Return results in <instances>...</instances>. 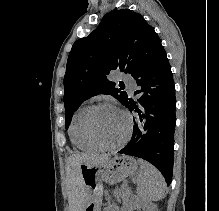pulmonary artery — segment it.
Wrapping results in <instances>:
<instances>
[{
    "mask_svg": "<svg viewBox=\"0 0 219 211\" xmlns=\"http://www.w3.org/2000/svg\"><path fill=\"white\" fill-rule=\"evenodd\" d=\"M127 85H128V87H129V89H130L131 91L134 90V86H133L131 83L128 82Z\"/></svg>",
    "mask_w": 219,
    "mask_h": 211,
    "instance_id": "pulmonary-artery-1",
    "label": "pulmonary artery"
}]
</instances>
